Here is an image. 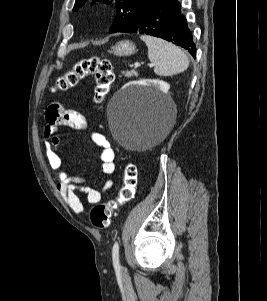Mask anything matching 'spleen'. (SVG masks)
I'll return each mask as SVG.
<instances>
[{
  "label": "spleen",
  "instance_id": "1",
  "mask_svg": "<svg viewBox=\"0 0 267 301\" xmlns=\"http://www.w3.org/2000/svg\"><path fill=\"white\" fill-rule=\"evenodd\" d=\"M148 47V58L159 76H172L184 72L189 66L187 55L177 46L163 39L142 35Z\"/></svg>",
  "mask_w": 267,
  "mask_h": 301
}]
</instances>
